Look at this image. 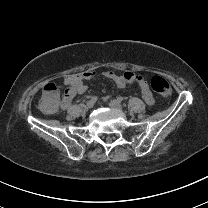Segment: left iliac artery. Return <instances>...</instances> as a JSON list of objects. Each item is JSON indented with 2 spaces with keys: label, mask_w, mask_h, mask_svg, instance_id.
<instances>
[{
  "label": "left iliac artery",
  "mask_w": 208,
  "mask_h": 208,
  "mask_svg": "<svg viewBox=\"0 0 208 208\" xmlns=\"http://www.w3.org/2000/svg\"><path fill=\"white\" fill-rule=\"evenodd\" d=\"M117 101L118 102H122L123 101V97H117Z\"/></svg>",
  "instance_id": "1"
}]
</instances>
